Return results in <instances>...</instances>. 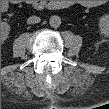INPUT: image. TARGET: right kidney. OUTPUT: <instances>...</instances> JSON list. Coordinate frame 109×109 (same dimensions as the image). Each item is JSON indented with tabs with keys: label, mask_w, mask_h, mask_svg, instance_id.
I'll return each mask as SVG.
<instances>
[{
	"label": "right kidney",
	"mask_w": 109,
	"mask_h": 109,
	"mask_svg": "<svg viewBox=\"0 0 109 109\" xmlns=\"http://www.w3.org/2000/svg\"><path fill=\"white\" fill-rule=\"evenodd\" d=\"M10 31V27L8 24L2 25V30H1V39L5 41L8 38Z\"/></svg>",
	"instance_id": "right-kidney-1"
}]
</instances>
